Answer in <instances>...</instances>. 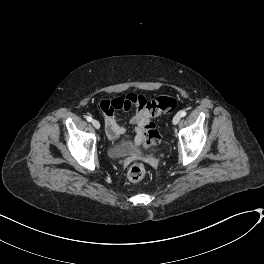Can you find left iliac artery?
Here are the masks:
<instances>
[{
	"label": "left iliac artery",
	"mask_w": 264,
	"mask_h": 264,
	"mask_svg": "<svg viewBox=\"0 0 264 264\" xmlns=\"http://www.w3.org/2000/svg\"><path fill=\"white\" fill-rule=\"evenodd\" d=\"M186 114H187V112H186V111H181V112H180V116H181V117H184V116H186Z\"/></svg>",
	"instance_id": "44dca946"
}]
</instances>
